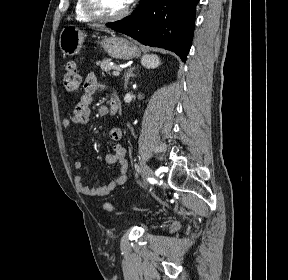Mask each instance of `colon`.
<instances>
[{"label": "colon", "instance_id": "1", "mask_svg": "<svg viewBox=\"0 0 288 280\" xmlns=\"http://www.w3.org/2000/svg\"><path fill=\"white\" fill-rule=\"evenodd\" d=\"M80 84V74L74 62H68L63 73V86L66 91L74 92ZM106 212H112L114 206L107 202L103 206Z\"/></svg>", "mask_w": 288, "mask_h": 280}]
</instances>
